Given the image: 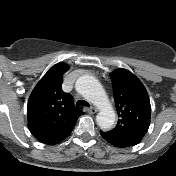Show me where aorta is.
<instances>
[{"label": "aorta", "mask_w": 176, "mask_h": 176, "mask_svg": "<svg viewBox=\"0 0 176 176\" xmlns=\"http://www.w3.org/2000/svg\"><path fill=\"white\" fill-rule=\"evenodd\" d=\"M82 95L99 108L97 125L102 130L110 129L115 122V112L101 84L92 76L83 78Z\"/></svg>", "instance_id": "obj_1"}]
</instances>
